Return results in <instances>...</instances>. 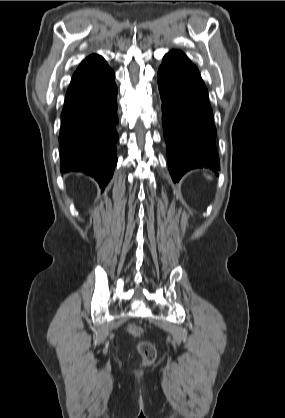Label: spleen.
Wrapping results in <instances>:
<instances>
[{
  "mask_svg": "<svg viewBox=\"0 0 285 418\" xmlns=\"http://www.w3.org/2000/svg\"><path fill=\"white\" fill-rule=\"evenodd\" d=\"M208 179H211V177L210 176H208V175H205Z\"/></svg>",
  "mask_w": 285,
  "mask_h": 418,
  "instance_id": "obj_1",
  "label": "spleen"
}]
</instances>
